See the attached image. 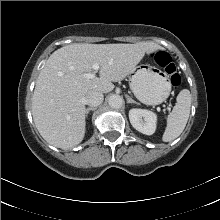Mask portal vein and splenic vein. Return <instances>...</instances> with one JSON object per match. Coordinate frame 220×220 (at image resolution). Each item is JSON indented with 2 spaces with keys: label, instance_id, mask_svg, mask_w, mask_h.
I'll list each match as a JSON object with an SVG mask.
<instances>
[{
  "label": "portal vein and splenic vein",
  "instance_id": "obj_1",
  "mask_svg": "<svg viewBox=\"0 0 220 220\" xmlns=\"http://www.w3.org/2000/svg\"><path fill=\"white\" fill-rule=\"evenodd\" d=\"M93 70L94 72H91V73H84V78L86 79H93L96 77V72L99 70V65L98 64H94L93 65ZM171 108L168 107V110H170Z\"/></svg>",
  "mask_w": 220,
  "mask_h": 220
}]
</instances>
